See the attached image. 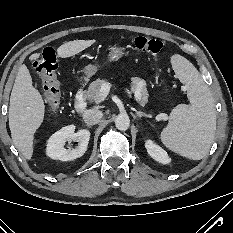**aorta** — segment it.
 I'll use <instances>...</instances> for the list:
<instances>
[{
  "mask_svg": "<svg viewBox=\"0 0 233 233\" xmlns=\"http://www.w3.org/2000/svg\"><path fill=\"white\" fill-rule=\"evenodd\" d=\"M115 125L119 130H127L130 125V119L127 114H119L115 119Z\"/></svg>",
  "mask_w": 233,
  "mask_h": 233,
  "instance_id": "obj_1",
  "label": "aorta"
}]
</instances>
